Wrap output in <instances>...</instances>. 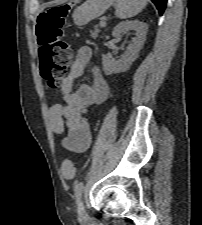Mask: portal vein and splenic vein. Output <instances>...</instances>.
<instances>
[{"label":"portal vein and splenic vein","mask_w":202,"mask_h":225,"mask_svg":"<svg viewBox=\"0 0 202 225\" xmlns=\"http://www.w3.org/2000/svg\"><path fill=\"white\" fill-rule=\"evenodd\" d=\"M100 26L101 27H105L106 26V18L105 17L100 21Z\"/></svg>","instance_id":"18ae733b"}]
</instances>
